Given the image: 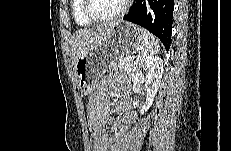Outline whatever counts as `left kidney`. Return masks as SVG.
I'll return each instance as SVG.
<instances>
[{"label": "left kidney", "mask_w": 231, "mask_h": 151, "mask_svg": "<svg viewBox=\"0 0 231 151\" xmlns=\"http://www.w3.org/2000/svg\"><path fill=\"white\" fill-rule=\"evenodd\" d=\"M132 81L136 85H144L146 101L140 110L144 114L152 106L161 83L163 61L157 56H139L131 69Z\"/></svg>", "instance_id": "obj_1"}]
</instances>
